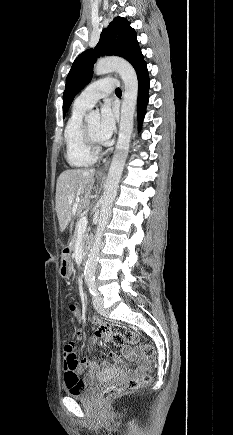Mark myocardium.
Instances as JSON below:
<instances>
[{"instance_id": "obj_1", "label": "myocardium", "mask_w": 233, "mask_h": 435, "mask_svg": "<svg viewBox=\"0 0 233 435\" xmlns=\"http://www.w3.org/2000/svg\"><path fill=\"white\" fill-rule=\"evenodd\" d=\"M82 131H83V137H84V140H85V143H86V145H87V147H88V149L90 150V152L94 155V156H99V155H101L102 154V146L100 145V143L99 142H97L94 138H93V136H92V134H91V132H90V129H89V127H88V124H87V122H84L83 123V129H82Z\"/></svg>"}]
</instances>
